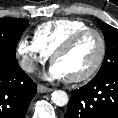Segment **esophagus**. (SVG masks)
<instances>
[{
    "label": "esophagus",
    "mask_w": 118,
    "mask_h": 118,
    "mask_svg": "<svg viewBox=\"0 0 118 118\" xmlns=\"http://www.w3.org/2000/svg\"><path fill=\"white\" fill-rule=\"evenodd\" d=\"M37 89H38V92H40V93H47V92L53 91L52 88L46 87V86H44L42 84H38L37 85Z\"/></svg>",
    "instance_id": "34e87169"
}]
</instances>
